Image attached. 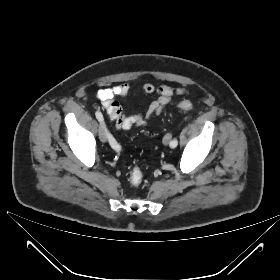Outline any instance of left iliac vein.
I'll return each instance as SVG.
<instances>
[{
	"label": "left iliac vein",
	"mask_w": 280,
	"mask_h": 280,
	"mask_svg": "<svg viewBox=\"0 0 280 280\" xmlns=\"http://www.w3.org/2000/svg\"><path fill=\"white\" fill-rule=\"evenodd\" d=\"M172 138V134L171 133H167L164 138H163V143L165 145H168L170 143V140Z\"/></svg>",
	"instance_id": "1"
}]
</instances>
